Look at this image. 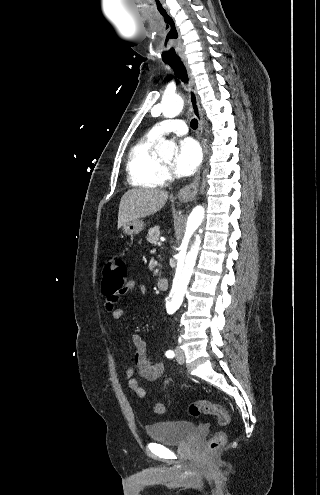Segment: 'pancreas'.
I'll list each match as a JSON object with an SVG mask.
<instances>
[{
    "label": "pancreas",
    "mask_w": 320,
    "mask_h": 495,
    "mask_svg": "<svg viewBox=\"0 0 320 495\" xmlns=\"http://www.w3.org/2000/svg\"><path fill=\"white\" fill-rule=\"evenodd\" d=\"M159 236H160L159 227L156 226L149 229L146 239L149 243L156 244L159 240Z\"/></svg>",
    "instance_id": "pancreas-1"
}]
</instances>
